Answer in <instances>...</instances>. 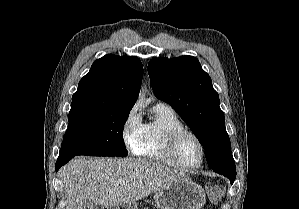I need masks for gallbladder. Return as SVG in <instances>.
I'll return each instance as SVG.
<instances>
[{
    "mask_svg": "<svg viewBox=\"0 0 299 209\" xmlns=\"http://www.w3.org/2000/svg\"><path fill=\"white\" fill-rule=\"evenodd\" d=\"M82 209H99L98 206L91 200H85L82 205Z\"/></svg>",
    "mask_w": 299,
    "mask_h": 209,
    "instance_id": "bac80fb5",
    "label": "gallbladder"
}]
</instances>
